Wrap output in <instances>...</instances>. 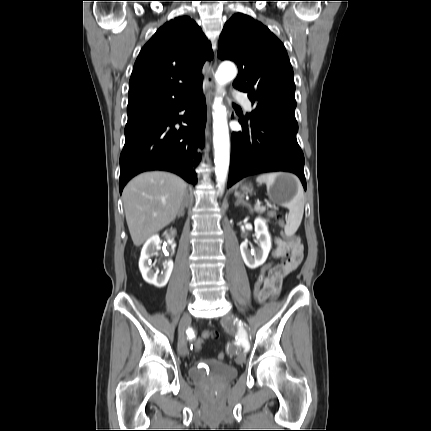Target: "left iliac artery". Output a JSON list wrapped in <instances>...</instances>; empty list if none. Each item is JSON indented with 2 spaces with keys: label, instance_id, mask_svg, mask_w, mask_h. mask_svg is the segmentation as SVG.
I'll return each instance as SVG.
<instances>
[{
  "label": "left iliac artery",
  "instance_id": "44dca946",
  "mask_svg": "<svg viewBox=\"0 0 431 431\" xmlns=\"http://www.w3.org/2000/svg\"><path fill=\"white\" fill-rule=\"evenodd\" d=\"M240 325H241V322H240ZM243 345H244V347H245V349L247 350V349H249V343H248V340L247 339H243Z\"/></svg>",
  "mask_w": 431,
  "mask_h": 431
}]
</instances>
